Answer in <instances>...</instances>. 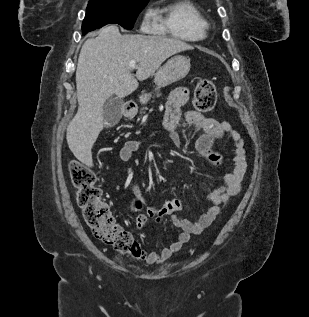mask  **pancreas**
Segmentation results:
<instances>
[{"mask_svg":"<svg viewBox=\"0 0 309 317\" xmlns=\"http://www.w3.org/2000/svg\"><path fill=\"white\" fill-rule=\"evenodd\" d=\"M156 96H157V97H160V96H161V93L157 92V93H156ZM145 109H146V108H143L142 110H145Z\"/></svg>","mask_w":309,"mask_h":317,"instance_id":"cf45deb5","label":"pancreas"}]
</instances>
